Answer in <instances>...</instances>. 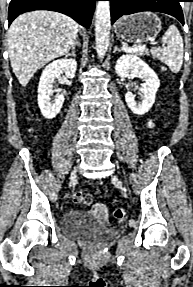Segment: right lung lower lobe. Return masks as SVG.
Masks as SVG:
<instances>
[{
    "label": "right lung lower lobe",
    "mask_w": 193,
    "mask_h": 287,
    "mask_svg": "<svg viewBox=\"0 0 193 287\" xmlns=\"http://www.w3.org/2000/svg\"><path fill=\"white\" fill-rule=\"evenodd\" d=\"M97 0H11L9 5V25L22 13L33 10H51L66 14L88 28Z\"/></svg>",
    "instance_id": "98d812e1"
}]
</instances>
